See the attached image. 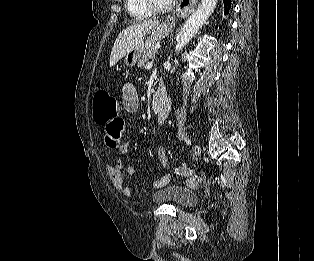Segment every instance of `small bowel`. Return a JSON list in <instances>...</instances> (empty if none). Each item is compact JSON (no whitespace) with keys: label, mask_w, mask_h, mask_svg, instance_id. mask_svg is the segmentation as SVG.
I'll return each instance as SVG.
<instances>
[{"label":"small bowel","mask_w":314,"mask_h":261,"mask_svg":"<svg viewBox=\"0 0 314 261\" xmlns=\"http://www.w3.org/2000/svg\"><path fill=\"white\" fill-rule=\"evenodd\" d=\"M138 93L136 87L131 82H126L122 88V106L132 113L138 107ZM169 111V110H168ZM168 112L157 118L158 124H163L166 120ZM104 133L101 134V139L104 140L107 151H120L123 154L128 152V141H123L125 130V116H112V120H104ZM157 155L161 166L166 167L168 164L166 151L163 147H159ZM124 164L121 160L113 165L108 166V173L112 184L126 197H133L134 193L131 187L124 182L123 176ZM125 172L129 176L137 173V169L133 166H128ZM171 180L170 174H165L153 182V188H161L167 185Z\"/></svg>","instance_id":"small-bowel-1"}]
</instances>
